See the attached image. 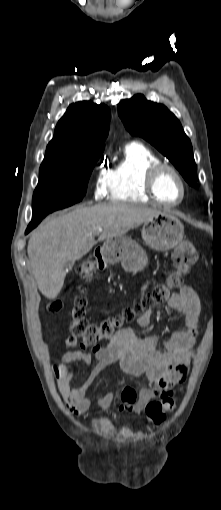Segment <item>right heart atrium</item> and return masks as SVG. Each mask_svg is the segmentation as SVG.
<instances>
[{
	"instance_id": "right-heart-atrium-1",
	"label": "right heart atrium",
	"mask_w": 221,
	"mask_h": 510,
	"mask_svg": "<svg viewBox=\"0 0 221 510\" xmlns=\"http://www.w3.org/2000/svg\"><path fill=\"white\" fill-rule=\"evenodd\" d=\"M110 173L105 168H101L95 181L94 194L96 199H102L106 196L109 189Z\"/></svg>"
}]
</instances>
